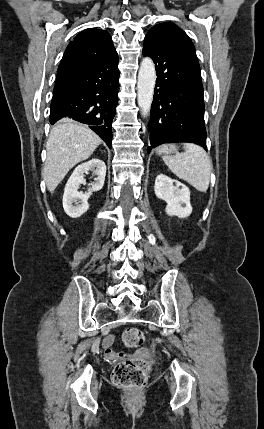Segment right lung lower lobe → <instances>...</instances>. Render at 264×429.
<instances>
[{
    "instance_id": "obj_1",
    "label": "right lung lower lobe",
    "mask_w": 264,
    "mask_h": 429,
    "mask_svg": "<svg viewBox=\"0 0 264 429\" xmlns=\"http://www.w3.org/2000/svg\"><path fill=\"white\" fill-rule=\"evenodd\" d=\"M118 54L60 81L53 90L49 121L64 117L87 124L111 148L112 122L119 92Z\"/></svg>"
}]
</instances>
